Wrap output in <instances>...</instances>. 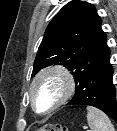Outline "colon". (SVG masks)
I'll list each match as a JSON object with an SVG mask.
<instances>
[{
	"mask_svg": "<svg viewBox=\"0 0 117 131\" xmlns=\"http://www.w3.org/2000/svg\"><path fill=\"white\" fill-rule=\"evenodd\" d=\"M36 131H68V129L60 124H46L38 128Z\"/></svg>",
	"mask_w": 117,
	"mask_h": 131,
	"instance_id": "1",
	"label": "colon"
}]
</instances>
